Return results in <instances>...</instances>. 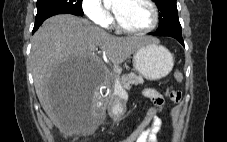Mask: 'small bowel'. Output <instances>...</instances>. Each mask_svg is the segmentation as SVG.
I'll use <instances>...</instances> for the list:
<instances>
[{"label":"small bowel","instance_id":"c3829d8e","mask_svg":"<svg viewBox=\"0 0 227 142\" xmlns=\"http://www.w3.org/2000/svg\"><path fill=\"white\" fill-rule=\"evenodd\" d=\"M143 95L151 100L161 111L164 106L163 96L155 89L147 88L143 91ZM172 101L178 102L181 99V93L179 91H172L169 94ZM162 127V120L157 117L148 130L143 134L138 142H158L157 136Z\"/></svg>","mask_w":227,"mask_h":142}]
</instances>
